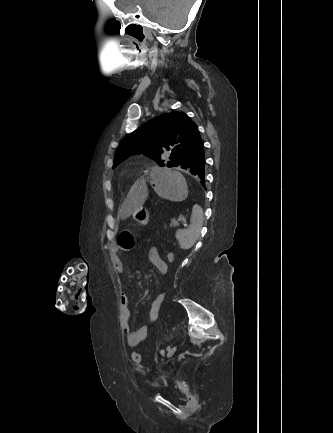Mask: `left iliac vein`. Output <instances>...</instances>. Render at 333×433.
<instances>
[{
    "label": "left iliac vein",
    "instance_id": "obj_1",
    "mask_svg": "<svg viewBox=\"0 0 333 433\" xmlns=\"http://www.w3.org/2000/svg\"><path fill=\"white\" fill-rule=\"evenodd\" d=\"M175 351H176V346L172 347V348L168 351V353H167V358L172 357L173 354L175 353Z\"/></svg>",
    "mask_w": 333,
    "mask_h": 433
}]
</instances>
